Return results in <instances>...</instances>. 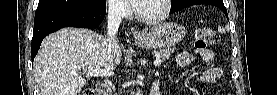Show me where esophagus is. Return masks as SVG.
Returning <instances> with one entry per match:
<instances>
[{
  "label": "esophagus",
  "mask_w": 277,
  "mask_h": 95,
  "mask_svg": "<svg viewBox=\"0 0 277 95\" xmlns=\"http://www.w3.org/2000/svg\"><path fill=\"white\" fill-rule=\"evenodd\" d=\"M133 36L135 39H139V38H142L143 36V33L139 30H136L134 33H133Z\"/></svg>",
  "instance_id": "obj_1"
}]
</instances>
